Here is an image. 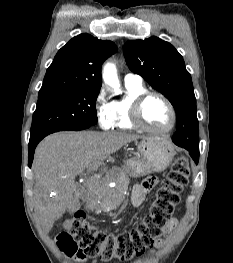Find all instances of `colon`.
Listing matches in <instances>:
<instances>
[{
    "instance_id": "colon-1",
    "label": "colon",
    "mask_w": 233,
    "mask_h": 263,
    "mask_svg": "<svg viewBox=\"0 0 233 263\" xmlns=\"http://www.w3.org/2000/svg\"><path fill=\"white\" fill-rule=\"evenodd\" d=\"M189 176L188 160L179 156L158 189L149 214L130 231L108 234L89 223L82 211L75 212L67 220L64 231L58 235L59 247L68 256L79 259L125 261L141 255L161 235L162 227L180 201V193L187 185Z\"/></svg>"
}]
</instances>
